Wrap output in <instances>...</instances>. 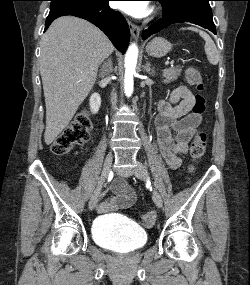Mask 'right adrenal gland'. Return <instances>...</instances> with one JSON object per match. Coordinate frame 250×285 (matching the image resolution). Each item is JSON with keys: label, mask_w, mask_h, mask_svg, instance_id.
<instances>
[{"label": "right adrenal gland", "mask_w": 250, "mask_h": 285, "mask_svg": "<svg viewBox=\"0 0 250 285\" xmlns=\"http://www.w3.org/2000/svg\"><path fill=\"white\" fill-rule=\"evenodd\" d=\"M112 70V61L109 58L106 63H104L103 67L101 68V72L99 77L103 78L107 73Z\"/></svg>", "instance_id": "2a0ac1e0"}]
</instances>
